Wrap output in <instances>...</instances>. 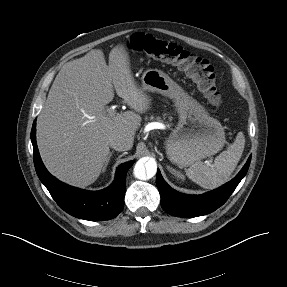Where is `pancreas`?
<instances>
[{
  "instance_id": "1",
  "label": "pancreas",
  "mask_w": 287,
  "mask_h": 287,
  "mask_svg": "<svg viewBox=\"0 0 287 287\" xmlns=\"http://www.w3.org/2000/svg\"><path fill=\"white\" fill-rule=\"evenodd\" d=\"M147 119V118H146ZM150 119H153V117H151ZM157 121H161L159 117L156 118Z\"/></svg>"
}]
</instances>
